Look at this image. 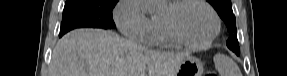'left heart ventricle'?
I'll return each instance as SVG.
<instances>
[{"label": "left heart ventricle", "instance_id": "left-heart-ventricle-1", "mask_svg": "<svg viewBox=\"0 0 287 76\" xmlns=\"http://www.w3.org/2000/svg\"><path fill=\"white\" fill-rule=\"evenodd\" d=\"M176 26L190 42L206 40L213 31V19L209 11L199 4H187L176 14Z\"/></svg>", "mask_w": 287, "mask_h": 76}]
</instances>
